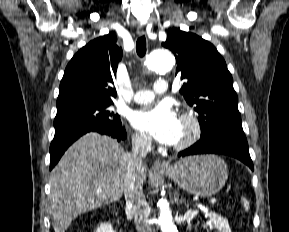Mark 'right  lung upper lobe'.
I'll use <instances>...</instances> for the list:
<instances>
[{"label":"right lung upper lobe","mask_w":289,"mask_h":232,"mask_svg":"<svg viewBox=\"0 0 289 232\" xmlns=\"http://www.w3.org/2000/svg\"><path fill=\"white\" fill-rule=\"evenodd\" d=\"M117 37L104 35L80 49L68 63L60 83L57 108L83 102L113 103L114 85L122 49Z\"/></svg>","instance_id":"obj_1"}]
</instances>
